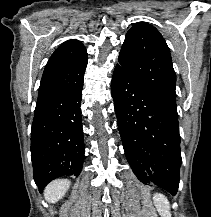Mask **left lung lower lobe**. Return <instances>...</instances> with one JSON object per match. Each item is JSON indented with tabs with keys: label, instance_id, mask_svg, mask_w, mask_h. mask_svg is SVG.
<instances>
[{
	"label": "left lung lower lobe",
	"instance_id": "left-lung-lower-lobe-1",
	"mask_svg": "<svg viewBox=\"0 0 211 217\" xmlns=\"http://www.w3.org/2000/svg\"><path fill=\"white\" fill-rule=\"evenodd\" d=\"M111 91L125 155L140 182L176 195L181 166L177 110L116 66Z\"/></svg>",
	"mask_w": 211,
	"mask_h": 217
}]
</instances>
